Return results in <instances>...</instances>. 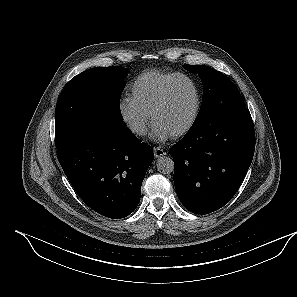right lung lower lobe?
I'll list each match as a JSON object with an SVG mask.
<instances>
[{
    "mask_svg": "<svg viewBox=\"0 0 297 297\" xmlns=\"http://www.w3.org/2000/svg\"><path fill=\"white\" fill-rule=\"evenodd\" d=\"M57 150L67 178L91 209L112 219L136 209L154 154L123 121H88Z\"/></svg>",
    "mask_w": 297,
    "mask_h": 297,
    "instance_id": "98d812e1",
    "label": "right lung lower lobe"
}]
</instances>
